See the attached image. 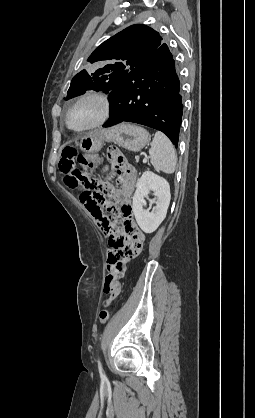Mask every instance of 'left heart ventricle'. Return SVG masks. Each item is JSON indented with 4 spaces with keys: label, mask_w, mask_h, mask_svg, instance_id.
<instances>
[{
    "label": "left heart ventricle",
    "mask_w": 255,
    "mask_h": 418,
    "mask_svg": "<svg viewBox=\"0 0 255 418\" xmlns=\"http://www.w3.org/2000/svg\"><path fill=\"white\" fill-rule=\"evenodd\" d=\"M99 114V102L93 99L85 100L72 109L69 123L73 128H83L95 121Z\"/></svg>",
    "instance_id": "1"
}]
</instances>
